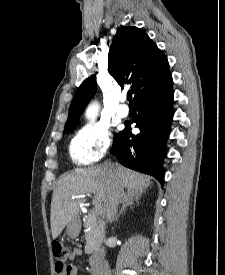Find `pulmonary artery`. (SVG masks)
Segmentation results:
<instances>
[{
    "mask_svg": "<svg viewBox=\"0 0 225 275\" xmlns=\"http://www.w3.org/2000/svg\"><path fill=\"white\" fill-rule=\"evenodd\" d=\"M129 113V109L125 104H122L118 109V115L121 117H126Z\"/></svg>",
    "mask_w": 225,
    "mask_h": 275,
    "instance_id": "1",
    "label": "pulmonary artery"
}]
</instances>
